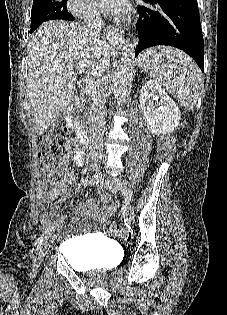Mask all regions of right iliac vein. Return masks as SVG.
<instances>
[{
  "label": "right iliac vein",
  "mask_w": 227,
  "mask_h": 315,
  "mask_svg": "<svg viewBox=\"0 0 227 315\" xmlns=\"http://www.w3.org/2000/svg\"><path fill=\"white\" fill-rule=\"evenodd\" d=\"M54 239H55V235H53L49 240H47L44 243L43 249H46L48 246H50V244L54 241ZM43 249H40L34 258V266L35 267H38L43 260V257H44V250Z\"/></svg>",
  "instance_id": "right-iliac-vein-1"
}]
</instances>
